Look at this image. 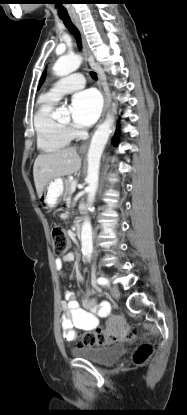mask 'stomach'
<instances>
[{
    "mask_svg": "<svg viewBox=\"0 0 187 415\" xmlns=\"http://www.w3.org/2000/svg\"><path fill=\"white\" fill-rule=\"evenodd\" d=\"M64 182L63 179L58 177L50 180L44 187L40 198V203L44 209H53L60 202V198L63 194Z\"/></svg>",
    "mask_w": 187,
    "mask_h": 415,
    "instance_id": "1",
    "label": "stomach"
}]
</instances>
